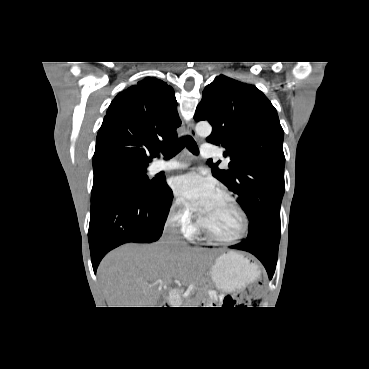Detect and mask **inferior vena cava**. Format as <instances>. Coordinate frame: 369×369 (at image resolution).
<instances>
[{
  "label": "inferior vena cava",
  "mask_w": 369,
  "mask_h": 369,
  "mask_svg": "<svg viewBox=\"0 0 369 369\" xmlns=\"http://www.w3.org/2000/svg\"><path fill=\"white\" fill-rule=\"evenodd\" d=\"M180 220L176 217L170 216L165 224L162 241L167 245L174 244H185V242L181 241L180 236Z\"/></svg>",
  "instance_id": "inferior-vena-cava-1"
}]
</instances>
